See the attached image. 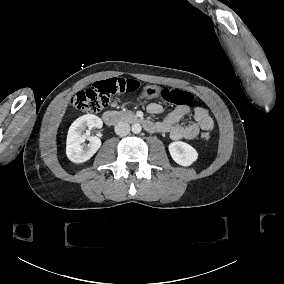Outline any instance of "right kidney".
Here are the masks:
<instances>
[{"instance_id": "ca27d5eb", "label": "right kidney", "mask_w": 284, "mask_h": 284, "mask_svg": "<svg viewBox=\"0 0 284 284\" xmlns=\"http://www.w3.org/2000/svg\"><path fill=\"white\" fill-rule=\"evenodd\" d=\"M102 120L92 114H87L76 119L70 126L67 143L66 154L69 160L75 163H82L89 160L100 148L101 140L97 136H88L83 131L88 127L102 128ZM89 140V144H84L85 140Z\"/></svg>"}]
</instances>
